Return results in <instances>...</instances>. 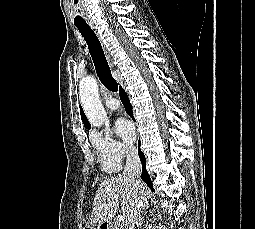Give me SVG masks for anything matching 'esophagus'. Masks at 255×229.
I'll return each mask as SVG.
<instances>
[{"label":"esophagus","instance_id":"34e87169","mask_svg":"<svg viewBox=\"0 0 255 229\" xmlns=\"http://www.w3.org/2000/svg\"><path fill=\"white\" fill-rule=\"evenodd\" d=\"M88 24L91 27V29L95 32V34L97 35V37H98V39H99V41H100V43L102 45V48L104 50V53H105V56H106L107 61L109 63V66L111 68H113V59H112V56H111L110 52L108 51L107 47L105 46V44L103 43V40L101 38V35H100L96 25L93 22H91V21H89Z\"/></svg>","mask_w":255,"mask_h":229}]
</instances>
